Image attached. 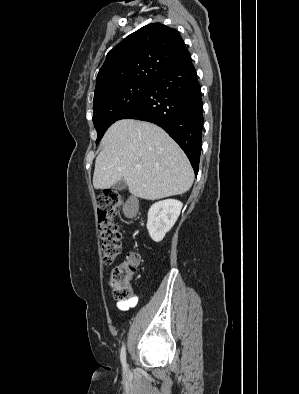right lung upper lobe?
Instances as JSON below:
<instances>
[{
	"mask_svg": "<svg viewBox=\"0 0 299 394\" xmlns=\"http://www.w3.org/2000/svg\"><path fill=\"white\" fill-rule=\"evenodd\" d=\"M188 55L176 29L146 25L109 51L96 78L95 95L127 83H152Z\"/></svg>",
	"mask_w": 299,
	"mask_h": 394,
	"instance_id": "cb5924a9",
	"label": "right lung upper lobe"
}]
</instances>
